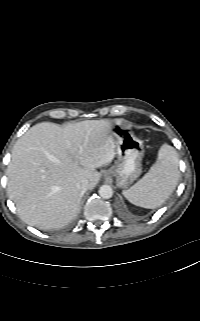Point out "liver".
<instances>
[{"label":"liver","mask_w":200,"mask_h":321,"mask_svg":"<svg viewBox=\"0 0 200 321\" xmlns=\"http://www.w3.org/2000/svg\"><path fill=\"white\" fill-rule=\"evenodd\" d=\"M115 149L109 120L31 127L15 143L7 169L8 195L20 218L42 230L66 226L80 208L77 182L86 179L93 189L96 168L111 163Z\"/></svg>","instance_id":"1"}]
</instances>
